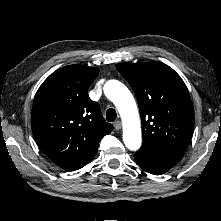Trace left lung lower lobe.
<instances>
[{"label": "left lung lower lobe", "mask_w": 221, "mask_h": 221, "mask_svg": "<svg viewBox=\"0 0 221 221\" xmlns=\"http://www.w3.org/2000/svg\"><path fill=\"white\" fill-rule=\"evenodd\" d=\"M134 158L142 169L154 175L164 174L181 160L176 157L159 154L145 147H141L134 154Z\"/></svg>", "instance_id": "obj_1"}]
</instances>
